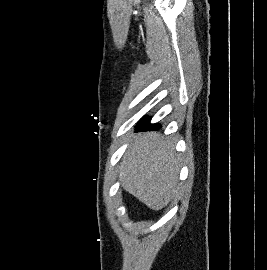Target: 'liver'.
<instances>
[{
    "label": "liver",
    "instance_id": "liver-1",
    "mask_svg": "<svg viewBox=\"0 0 267 270\" xmlns=\"http://www.w3.org/2000/svg\"><path fill=\"white\" fill-rule=\"evenodd\" d=\"M180 159L169 138L157 132L135 137L119 170L122 187L153 210L164 208L177 192Z\"/></svg>",
    "mask_w": 267,
    "mask_h": 270
}]
</instances>
